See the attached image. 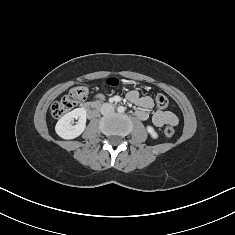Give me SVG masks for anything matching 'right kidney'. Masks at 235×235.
<instances>
[{"mask_svg":"<svg viewBox=\"0 0 235 235\" xmlns=\"http://www.w3.org/2000/svg\"><path fill=\"white\" fill-rule=\"evenodd\" d=\"M74 118L78 119L76 125H72ZM85 128L86 110L83 108H76L58 120L55 131L63 139H74L80 136Z\"/></svg>","mask_w":235,"mask_h":235,"instance_id":"right-kidney-1","label":"right kidney"}]
</instances>
